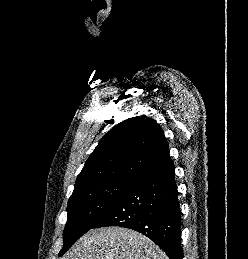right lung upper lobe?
Masks as SVG:
<instances>
[{"label":"right lung upper lobe","instance_id":"1","mask_svg":"<svg viewBox=\"0 0 248 259\" xmlns=\"http://www.w3.org/2000/svg\"><path fill=\"white\" fill-rule=\"evenodd\" d=\"M171 164L167 140L156 121L146 116L127 119L100 140L75 188L112 180L134 183Z\"/></svg>","mask_w":248,"mask_h":259}]
</instances>
